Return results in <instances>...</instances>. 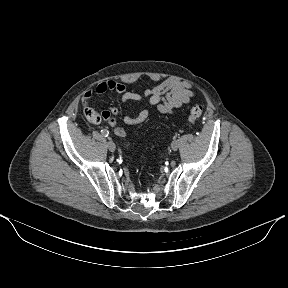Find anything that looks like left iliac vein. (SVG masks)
Segmentation results:
<instances>
[{
	"label": "left iliac vein",
	"mask_w": 288,
	"mask_h": 288,
	"mask_svg": "<svg viewBox=\"0 0 288 288\" xmlns=\"http://www.w3.org/2000/svg\"><path fill=\"white\" fill-rule=\"evenodd\" d=\"M178 147H179L178 141H173V142L171 143V148H172V150L176 151V150L178 149Z\"/></svg>",
	"instance_id": "4c4485c4"
}]
</instances>
